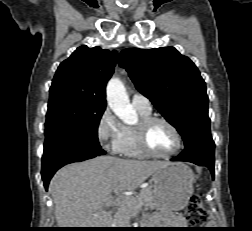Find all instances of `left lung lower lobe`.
Wrapping results in <instances>:
<instances>
[{"label": "left lung lower lobe", "instance_id": "obj_1", "mask_svg": "<svg viewBox=\"0 0 252 231\" xmlns=\"http://www.w3.org/2000/svg\"><path fill=\"white\" fill-rule=\"evenodd\" d=\"M214 148L215 144L211 139L195 140L185 146L184 150L172 161H186L210 169L214 178Z\"/></svg>", "mask_w": 252, "mask_h": 231}]
</instances>
